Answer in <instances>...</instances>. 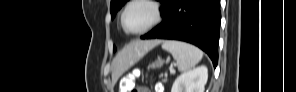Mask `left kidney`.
I'll use <instances>...</instances> for the list:
<instances>
[{
	"mask_svg": "<svg viewBox=\"0 0 296 92\" xmlns=\"http://www.w3.org/2000/svg\"><path fill=\"white\" fill-rule=\"evenodd\" d=\"M208 79L206 66H199L182 73L173 83L171 92H204Z\"/></svg>",
	"mask_w": 296,
	"mask_h": 92,
	"instance_id": "1",
	"label": "left kidney"
}]
</instances>
